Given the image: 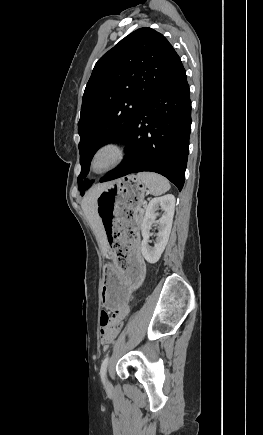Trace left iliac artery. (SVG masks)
I'll return each instance as SVG.
<instances>
[{
	"label": "left iliac artery",
	"mask_w": 263,
	"mask_h": 435,
	"mask_svg": "<svg viewBox=\"0 0 263 435\" xmlns=\"http://www.w3.org/2000/svg\"><path fill=\"white\" fill-rule=\"evenodd\" d=\"M109 362V356H106V358L103 360L100 368V376L102 379V382L105 383V377H106V370Z\"/></svg>",
	"instance_id": "1"
}]
</instances>
